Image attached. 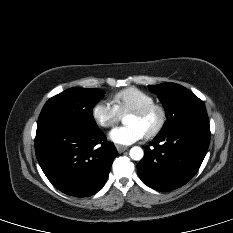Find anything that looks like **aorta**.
Here are the masks:
<instances>
[{
	"label": "aorta",
	"instance_id": "aorta-1",
	"mask_svg": "<svg viewBox=\"0 0 233 233\" xmlns=\"http://www.w3.org/2000/svg\"><path fill=\"white\" fill-rule=\"evenodd\" d=\"M129 155L131 157V159L133 160H141L144 156V152L142 150V148L138 147V146H134L130 149Z\"/></svg>",
	"mask_w": 233,
	"mask_h": 233
}]
</instances>
